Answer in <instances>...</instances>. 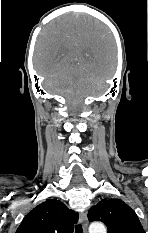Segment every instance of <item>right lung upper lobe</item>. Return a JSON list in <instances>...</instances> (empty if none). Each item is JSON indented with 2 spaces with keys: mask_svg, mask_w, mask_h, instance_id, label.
<instances>
[{
  "mask_svg": "<svg viewBox=\"0 0 148 233\" xmlns=\"http://www.w3.org/2000/svg\"><path fill=\"white\" fill-rule=\"evenodd\" d=\"M78 214L61 201L46 200L22 220L16 233H73Z\"/></svg>",
  "mask_w": 148,
  "mask_h": 233,
  "instance_id": "obj_1",
  "label": "right lung upper lobe"
}]
</instances>
